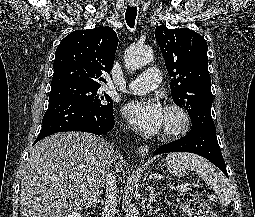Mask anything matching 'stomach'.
<instances>
[{
  "mask_svg": "<svg viewBox=\"0 0 255 217\" xmlns=\"http://www.w3.org/2000/svg\"><path fill=\"white\" fill-rule=\"evenodd\" d=\"M164 165L171 174L179 177L186 175L189 171V168L186 165L176 161H165Z\"/></svg>",
  "mask_w": 255,
  "mask_h": 217,
  "instance_id": "stomach-1",
  "label": "stomach"
}]
</instances>
